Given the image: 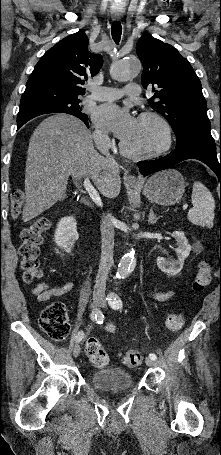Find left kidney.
I'll return each mask as SVG.
<instances>
[{"mask_svg":"<svg viewBox=\"0 0 221 455\" xmlns=\"http://www.w3.org/2000/svg\"><path fill=\"white\" fill-rule=\"evenodd\" d=\"M172 237L176 240L178 245L175 249L178 259L176 261H169L166 258L159 256L157 257V266L161 271L168 275L175 276L182 270L184 261L190 254L191 246L182 231H174Z\"/></svg>","mask_w":221,"mask_h":455,"instance_id":"1","label":"left kidney"}]
</instances>
